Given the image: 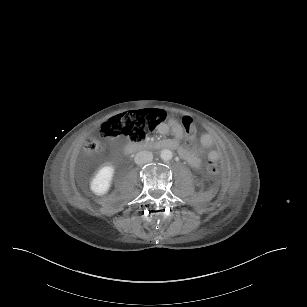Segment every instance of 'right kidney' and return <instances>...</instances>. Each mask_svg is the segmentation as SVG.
Returning <instances> with one entry per match:
<instances>
[{"label": "right kidney", "instance_id": "right-kidney-1", "mask_svg": "<svg viewBox=\"0 0 307 307\" xmlns=\"http://www.w3.org/2000/svg\"><path fill=\"white\" fill-rule=\"evenodd\" d=\"M115 169L112 165L102 167L90 182V191L96 196L107 194L111 188Z\"/></svg>", "mask_w": 307, "mask_h": 307}]
</instances>
